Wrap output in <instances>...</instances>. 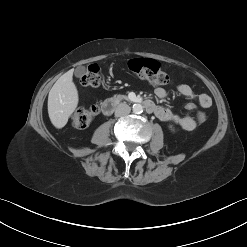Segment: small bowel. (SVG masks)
<instances>
[{"label": "small bowel", "mask_w": 247, "mask_h": 247, "mask_svg": "<svg viewBox=\"0 0 247 247\" xmlns=\"http://www.w3.org/2000/svg\"><path fill=\"white\" fill-rule=\"evenodd\" d=\"M178 92L186 98L195 99L202 108H208L212 104L211 97L206 93L196 94L191 86L188 84H180L177 87ZM156 97L163 99L167 96V92L162 87H157L154 90ZM158 119L165 122H172L180 126L183 130L192 131L198 124L202 123L205 119L203 113H198L196 117L191 116H179L173 113L166 107L155 105L153 112Z\"/></svg>", "instance_id": "small-bowel-1"}]
</instances>
